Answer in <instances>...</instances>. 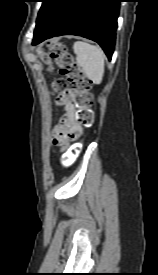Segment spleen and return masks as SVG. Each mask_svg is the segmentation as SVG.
I'll use <instances>...</instances> for the list:
<instances>
[{"label":"spleen","mask_w":158,"mask_h":275,"mask_svg":"<svg viewBox=\"0 0 158 275\" xmlns=\"http://www.w3.org/2000/svg\"><path fill=\"white\" fill-rule=\"evenodd\" d=\"M77 64L94 84H100L105 69V54L102 49L83 41H77L73 45Z\"/></svg>","instance_id":"3e777b00"}]
</instances>
